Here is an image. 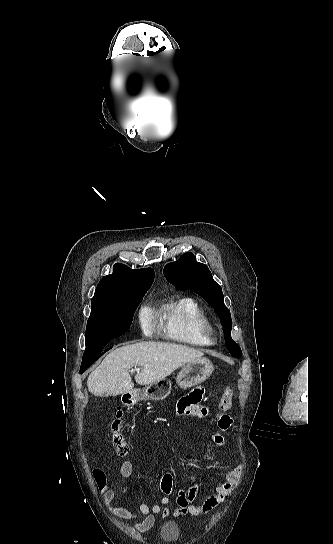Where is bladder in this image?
I'll list each match as a JSON object with an SVG mask.
<instances>
[{
  "label": "bladder",
  "instance_id": "obj_1",
  "mask_svg": "<svg viewBox=\"0 0 333 544\" xmlns=\"http://www.w3.org/2000/svg\"><path fill=\"white\" fill-rule=\"evenodd\" d=\"M160 536L165 542H175L180 537V530L176 523L167 521L163 523Z\"/></svg>",
  "mask_w": 333,
  "mask_h": 544
}]
</instances>
